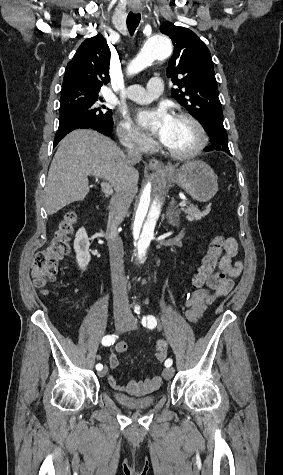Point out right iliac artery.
I'll list each match as a JSON object with an SVG mask.
<instances>
[{
  "label": "right iliac artery",
  "instance_id": "obj_1",
  "mask_svg": "<svg viewBox=\"0 0 283 475\" xmlns=\"http://www.w3.org/2000/svg\"><path fill=\"white\" fill-rule=\"evenodd\" d=\"M117 338H118L117 335H107V336L103 337V339H102V344H103L104 346L113 345L114 342H115V340H116ZM102 368H103V365H102V364L99 363V364L96 365V369H97L98 371H100Z\"/></svg>",
  "mask_w": 283,
  "mask_h": 475
}]
</instances>
